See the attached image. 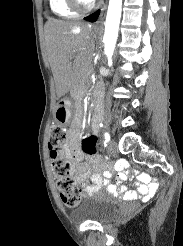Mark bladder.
<instances>
[{"instance_id": "31cf9c89", "label": "bladder", "mask_w": 183, "mask_h": 246, "mask_svg": "<svg viewBox=\"0 0 183 246\" xmlns=\"http://www.w3.org/2000/svg\"><path fill=\"white\" fill-rule=\"evenodd\" d=\"M118 203L106 193L99 191L84 200L72 216L83 221L108 222L118 211Z\"/></svg>"}]
</instances>
